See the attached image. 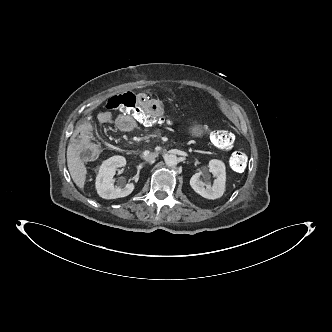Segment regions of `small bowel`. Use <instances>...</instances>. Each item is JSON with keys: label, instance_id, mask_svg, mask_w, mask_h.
Returning <instances> with one entry per match:
<instances>
[{"label": "small bowel", "instance_id": "obj_1", "mask_svg": "<svg viewBox=\"0 0 332 332\" xmlns=\"http://www.w3.org/2000/svg\"><path fill=\"white\" fill-rule=\"evenodd\" d=\"M136 104L145 113L154 117H161L164 114V107L150 99L146 94H139L136 97ZM99 120L104 124L118 126L120 130L125 132L132 131L139 124L133 116L118 111H104L99 115Z\"/></svg>", "mask_w": 332, "mask_h": 332}]
</instances>
